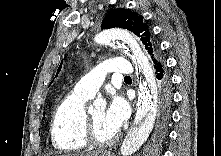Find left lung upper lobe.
<instances>
[{
  "label": "left lung upper lobe",
  "mask_w": 221,
  "mask_h": 156,
  "mask_svg": "<svg viewBox=\"0 0 221 156\" xmlns=\"http://www.w3.org/2000/svg\"><path fill=\"white\" fill-rule=\"evenodd\" d=\"M114 27L128 29L137 35L145 45V49L148 51L154 65L164 61L159 52V47L152 36L150 27L141 15L129 9H114L106 15L101 28L109 29ZM60 69L61 65L58 68L57 74Z\"/></svg>",
  "instance_id": "1"
}]
</instances>
